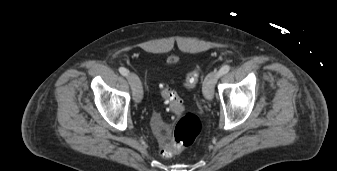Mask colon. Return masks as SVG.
Masks as SVG:
<instances>
[{
  "label": "colon",
  "instance_id": "1",
  "mask_svg": "<svg viewBox=\"0 0 337 171\" xmlns=\"http://www.w3.org/2000/svg\"><path fill=\"white\" fill-rule=\"evenodd\" d=\"M198 78L199 70L191 71L185 78L184 86L186 88L195 87ZM160 92L172 113L178 118L171 138L167 133L166 126L161 121L154 122V131L161 145V155L169 158L189 147L196 140L202 130V123L197 115L185 112L183 101L175 91L162 85Z\"/></svg>",
  "mask_w": 337,
  "mask_h": 171
}]
</instances>
